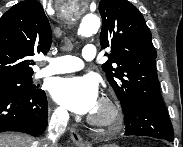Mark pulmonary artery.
<instances>
[{"mask_svg":"<svg viewBox=\"0 0 183 147\" xmlns=\"http://www.w3.org/2000/svg\"><path fill=\"white\" fill-rule=\"evenodd\" d=\"M97 56L96 47L93 44H87L82 50L84 60H92ZM48 66L40 71L41 76L61 74L77 71L83 68V60L75 56H60L46 59Z\"/></svg>","mask_w":183,"mask_h":147,"instance_id":"1","label":"pulmonary artery"}]
</instances>
